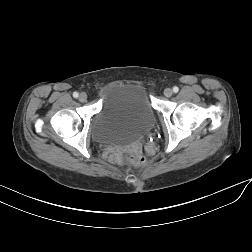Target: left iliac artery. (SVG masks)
Masks as SVG:
<instances>
[{
    "mask_svg": "<svg viewBox=\"0 0 252 252\" xmlns=\"http://www.w3.org/2000/svg\"><path fill=\"white\" fill-rule=\"evenodd\" d=\"M178 91H179V88H178L177 86H174V87H173V92H174V93H177Z\"/></svg>",
    "mask_w": 252,
    "mask_h": 252,
    "instance_id": "left-iliac-artery-1",
    "label": "left iliac artery"
}]
</instances>
